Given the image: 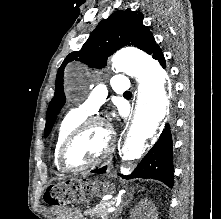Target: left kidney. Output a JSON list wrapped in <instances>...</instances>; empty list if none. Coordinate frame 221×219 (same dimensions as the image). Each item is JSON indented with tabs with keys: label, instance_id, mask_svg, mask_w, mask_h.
<instances>
[{
	"label": "left kidney",
	"instance_id": "1",
	"mask_svg": "<svg viewBox=\"0 0 221 219\" xmlns=\"http://www.w3.org/2000/svg\"><path fill=\"white\" fill-rule=\"evenodd\" d=\"M155 205L148 199L141 200L132 212V219H157Z\"/></svg>",
	"mask_w": 221,
	"mask_h": 219
}]
</instances>
